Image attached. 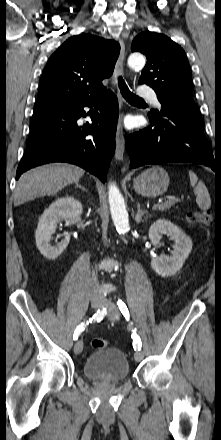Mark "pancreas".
<instances>
[{"label":"pancreas","mask_w":221,"mask_h":440,"mask_svg":"<svg viewBox=\"0 0 221 440\" xmlns=\"http://www.w3.org/2000/svg\"><path fill=\"white\" fill-rule=\"evenodd\" d=\"M174 205V201H165L158 205L157 209L160 211H165L170 209Z\"/></svg>","instance_id":"1"}]
</instances>
